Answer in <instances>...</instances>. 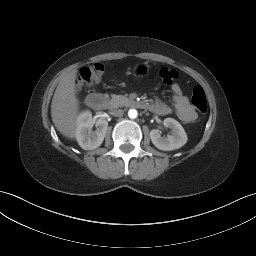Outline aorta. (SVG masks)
I'll return each mask as SVG.
<instances>
[{
	"label": "aorta",
	"mask_w": 256,
	"mask_h": 256,
	"mask_svg": "<svg viewBox=\"0 0 256 256\" xmlns=\"http://www.w3.org/2000/svg\"><path fill=\"white\" fill-rule=\"evenodd\" d=\"M128 116H129V118H131V119L137 118V116H138L137 110H136V109H130V110L128 111Z\"/></svg>",
	"instance_id": "762f6f07"
}]
</instances>
